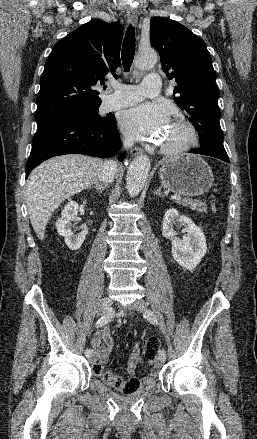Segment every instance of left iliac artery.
<instances>
[{"label": "left iliac artery", "instance_id": "obj_1", "mask_svg": "<svg viewBox=\"0 0 257 439\" xmlns=\"http://www.w3.org/2000/svg\"><path fill=\"white\" fill-rule=\"evenodd\" d=\"M144 317H145L147 320H149L152 324H157V319H156V317H155V315L153 314L152 311L147 310V311L144 313ZM159 356H160L161 358H163V359H166V352L164 351V349H161V350L159 351Z\"/></svg>", "mask_w": 257, "mask_h": 439}]
</instances>
